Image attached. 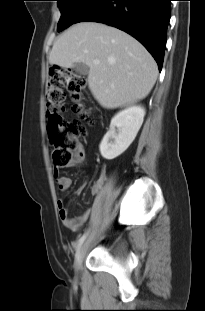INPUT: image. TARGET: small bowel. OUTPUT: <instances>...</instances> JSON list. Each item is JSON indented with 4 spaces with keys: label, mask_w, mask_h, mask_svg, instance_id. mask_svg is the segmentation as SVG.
<instances>
[{
    "label": "small bowel",
    "mask_w": 205,
    "mask_h": 311,
    "mask_svg": "<svg viewBox=\"0 0 205 311\" xmlns=\"http://www.w3.org/2000/svg\"><path fill=\"white\" fill-rule=\"evenodd\" d=\"M87 158L86 151L82 145H80L73 153L71 161L66 165L69 168H77L83 166ZM55 175H59L57 169L54 170ZM104 181L103 174L100 176L96 184L92 187V194L96 195ZM71 179L66 176H58L57 184L61 192H67L71 186ZM83 187H80L78 192H81ZM59 217L62 224L71 231H78L83 224L89 219L92 209L87 208L81 215L77 217H71L66 203L63 199H59L58 202Z\"/></svg>",
    "instance_id": "c3829d8e"
}]
</instances>
